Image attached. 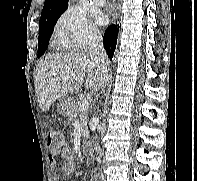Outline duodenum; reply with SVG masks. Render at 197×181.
Segmentation results:
<instances>
[{
    "instance_id": "410a0bca",
    "label": "duodenum",
    "mask_w": 197,
    "mask_h": 181,
    "mask_svg": "<svg viewBox=\"0 0 197 181\" xmlns=\"http://www.w3.org/2000/svg\"><path fill=\"white\" fill-rule=\"evenodd\" d=\"M92 148L91 147H86L85 148V153L88 155V156H92Z\"/></svg>"
}]
</instances>
